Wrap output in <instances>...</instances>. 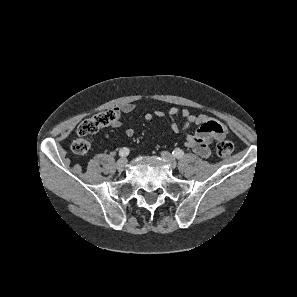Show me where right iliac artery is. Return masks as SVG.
<instances>
[{
	"label": "right iliac artery",
	"instance_id": "82829eb1",
	"mask_svg": "<svg viewBox=\"0 0 297 297\" xmlns=\"http://www.w3.org/2000/svg\"><path fill=\"white\" fill-rule=\"evenodd\" d=\"M129 153H130V150L128 148L124 147V148L120 149L119 156L126 157L129 155Z\"/></svg>",
	"mask_w": 297,
	"mask_h": 297
}]
</instances>
